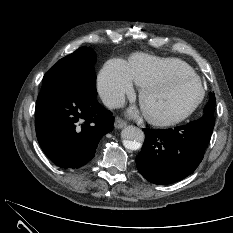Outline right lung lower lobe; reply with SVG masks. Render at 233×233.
<instances>
[{"label":"right lung lower lobe","mask_w":233,"mask_h":233,"mask_svg":"<svg viewBox=\"0 0 233 233\" xmlns=\"http://www.w3.org/2000/svg\"><path fill=\"white\" fill-rule=\"evenodd\" d=\"M96 88L45 81L36 102L38 142L56 165L79 168L95 155L99 140L112 131L114 117L96 100Z\"/></svg>","instance_id":"obj_1"}]
</instances>
